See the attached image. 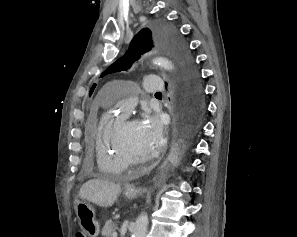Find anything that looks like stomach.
I'll return each instance as SVG.
<instances>
[{"instance_id": "obj_1", "label": "stomach", "mask_w": 297, "mask_h": 237, "mask_svg": "<svg viewBox=\"0 0 297 237\" xmlns=\"http://www.w3.org/2000/svg\"><path fill=\"white\" fill-rule=\"evenodd\" d=\"M140 193V190H127L125 192V196L129 199H133ZM75 210L80 228L86 234V236L97 237L100 231V226L96 220L94 208L85 201H79L75 206Z\"/></svg>"}]
</instances>
